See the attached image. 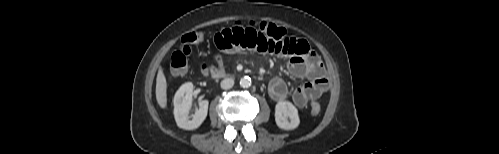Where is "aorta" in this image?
Instances as JSON below:
<instances>
[{"label": "aorta", "instance_id": "aorta-1", "mask_svg": "<svg viewBox=\"0 0 499 154\" xmlns=\"http://www.w3.org/2000/svg\"><path fill=\"white\" fill-rule=\"evenodd\" d=\"M240 86L242 88H248V87H250L251 86V79H250V77L245 76V77L241 78V80H240Z\"/></svg>", "mask_w": 499, "mask_h": 154}]
</instances>
